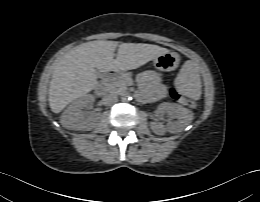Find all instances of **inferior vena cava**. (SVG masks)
Returning <instances> with one entry per match:
<instances>
[{
  "label": "inferior vena cava",
  "mask_w": 260,
  "mask_h": 202,
  "mask_svg": "<svg viewBox=\"0 0 260 202\" xmlns=\"http://www.w3.org/2000/svg\"><path fill=\"white\" fill-rule=\"evenodd\" d=\"M118 101L116 94H107L103 97V102L106 105H113Z\"/></svg>",
  "instance_id": "inferior-vena-cava-1"
}]
</instances>
